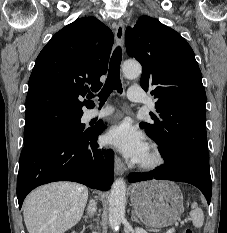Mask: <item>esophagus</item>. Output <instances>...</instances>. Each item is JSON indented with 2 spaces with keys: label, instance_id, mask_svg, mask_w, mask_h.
Segmentation results:
<instances>
[{
  "label": "esophagus",
  "instance_id": "obj_1",
  "mask_svg": "<svg viewBox=\"0 0 227 233\" xmlns=\"http://www.w3.org/2000/svg\"><path fill=\"white\" fill-rule=\"evenodd\" d=\"M115 39L116 43L119 46H123L124 42V22L123 20H119L116 29H115ZM126 171V167L122 160L119 157H115V173L117 175H121Z\"/></svg>",
  "mask_w": 227,
  "mask_h": 233
}]
</instances>
